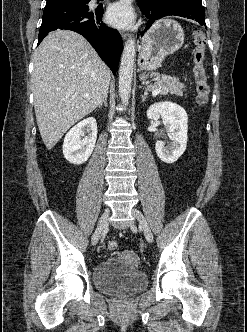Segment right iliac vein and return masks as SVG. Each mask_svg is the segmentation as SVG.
I'll use <instances>...</instances> for the list:
<instances>
[{"mask_svg": "<svg viewBox=\"0 0 247 332\" xmlns=\"http://www.w3.org/2000/svg\"><path fill=\"white\" fill-rule=\"evenodd\" d=\"M109 215H110V210L106 209L104 211V213L102 214L97 229L95 231V233L92 236V244L96 245L100 239V237L102 236L103 232L105 231V229L108 226V220H109Z\"/></svg>", "mask_w": 247, "mask_h": 332, "instance_id": "63e3f726", "label": "right iliac vein"}]
</instances>
